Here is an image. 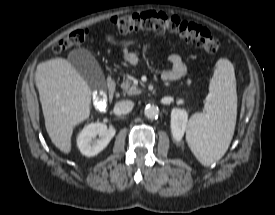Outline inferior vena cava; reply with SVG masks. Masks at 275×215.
Wrapping results in <instances>:
<instances>
[{
    "label": "inferior vena cava",
    "instance_id": "inferior-vena-cava-1",
    "mask_svg": "<svg viewBox=\"0 0 275 215\" xmlns=\"http://www.w3.org/2000/svg\"><path fill=\"white\" fill-rule=\"evenodd\" d=\"M134 103L130 100H123L115 104L114 111L117 114H127L132 111Z\"/></svg>",
    "mask_w": 275,
    "mask_h": 215
}]
</instances>
